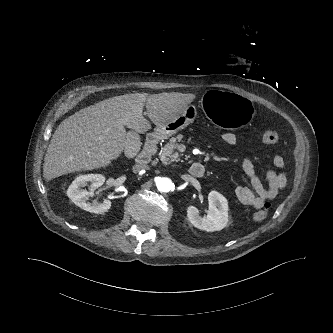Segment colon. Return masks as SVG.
<instances>
[{
    "label": "colon",
    "mask_w": 333,
    "mask_h": 333,
    "mask_svg": "<svg viewBox=\"0 0 333 333\" xmlns=\"http://www.w3.org/2000/svg\"><path fill=\"white\" fill-rule=\"evenodd\" d=\"M262 141L267 144H274L278 141V134L275 131H266L263 136H262ZM271 209V204L270 203H266L264 205V209L261 211H258L254 214L253 216V220L255 222H261L263 221L266 217L267 214L269 212V210Z\"/></svg>",
    "instance_id": "colon-1"
}]
</instances>
